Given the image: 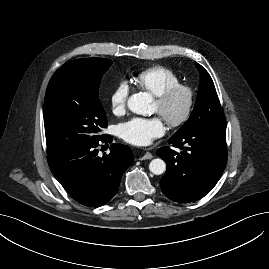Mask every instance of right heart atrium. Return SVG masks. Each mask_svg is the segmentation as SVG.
<instances>
[{"label":"right heart atrium","mask_w":269,"mask_h":269,"mask_svg":"<svg viewBox=\"0 0 269 269\" xmlns=\"http://www.w3.org/2000/svg\"><path fill=\"white\" fill-rule=\"evenodd\" d=\"M129 94L130 88L125 81H120L115 86L109 96V106L114 114L119 115L124 113L126 110Z\"/></svg>","instance_id":"obj_1"}]
</instances>
